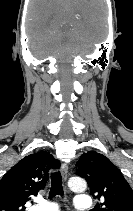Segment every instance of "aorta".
I'll use <instances>...</instances> for the list:
<instances>
[{"label": "aorta", "instance_id": "762f6f07", "mask_svg": "<svg viewBox=\"0 0 133 211\" xmlns=\"http://www.w3.org/2000/svg\"><path fill=\"white\" fill-rule=\"evenodd\" d=\"M69 188L74 192H84L87 188L86 181L81 177H72L68 181Z\"/></svg>", "mask_w": 133, "mask_h": 211}]
</instances>
